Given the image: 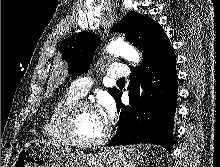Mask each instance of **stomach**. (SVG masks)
<instances>
[{
    "label": "stomach",
    "mask_w": 220,
    "mask_h": 167,
    "mask_svg": "<svg viewBox=\"0 0 220 167\" xmlns=\"http://www.w3.org/2000/svg\"><path fill=\"white\" fill-rule=\"evenodd\" d=\"M143 153L134 146L84 154L42 142H30L15 157L13 167H136Z\"/></svg>",
    "instance_id": "1"
}]
</instances>
